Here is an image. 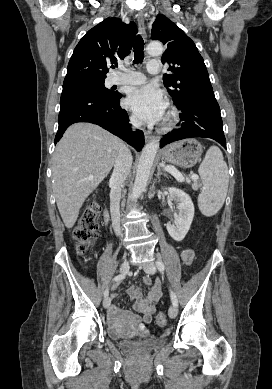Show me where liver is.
<instances>
[{
  "label": "liver",
  "instance_id": "6515ba94",
  "mask_svg": "<svg viewBox=\"0 0 272 389\" xmlns=\"http://www.w3.org/2000/svg\"><path fill=\"white\" fill-rule=\"evenodd\" d=\"M122 141L91 123L71 125L56 146L53 193L67 228L77 221L86 198L112 169Z\"/></svg>",
  "mask_w": 272,
  "mask_h": 389
}]
</instances>
